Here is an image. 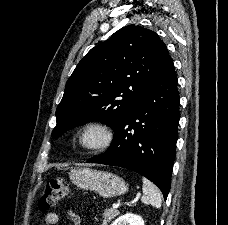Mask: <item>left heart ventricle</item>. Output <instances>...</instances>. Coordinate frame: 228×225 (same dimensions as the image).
I'll return each instance as SVG.
<instances>
[{
  "label": "left heart ventricle",
  "mask_w": 228,
  "mask_h": 225,
  "mask_svg": "<svg viewBox=\"0 0 228 225\" xmlns=\"http://www.w3.org/2000/svg\"><path fill=\"white\" fill-rule=\"evenodd\" d=\"M92 138L96 139V138H97V136H96V135H93V136H92Z\"/></svg>",
  "instance_id": "1"
}]
</instances>
